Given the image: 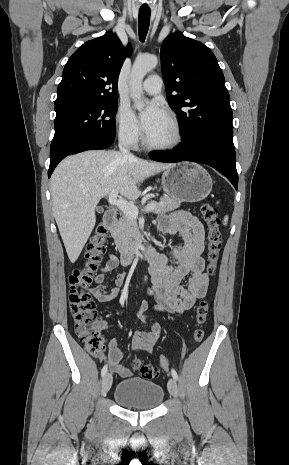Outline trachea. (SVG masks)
<instances>
[{
  "mask_svg": "<svg viewBox=\"0 0 289 465\" xmlns=\"http://www.w3.org/2000/svg\"><path fill=\"white\" fill-rule=\"evenodd\" d=\"M151 10L140 9L138 18V33L141 42H144L147 36V32L150 24Z\"/></svg>",
  "mask_w": 289,
  "mask_h": 465,
  "instance_id": "obj_1",
  "label": "trachea"
}]
</instances>
